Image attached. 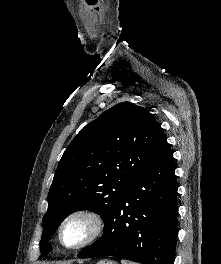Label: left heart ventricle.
Listing matches in <instances>:
<instances>
[{"instance_id":"b2bd125f","label":"left heart ventricle","mask_w":221,"mask_h":264,"mask_svg":"<svg viewBox=\"0 0 221 264\" xmlns=\"http://www.w3.org/2000/svg\"><path fill=\"white\" fill-rule=\"evenodd\" d=\"M90 233V224L84 219L70 221L63 230L62 238L67 245H76L82 242Z\"/></svg>"}]
</instances>
